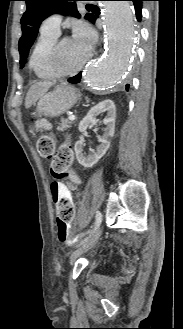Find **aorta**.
<instances>
[{"mask_svg": "<svg viewBox=\"0 0 183 329\" xmlns=\"http://www.w3.org/2000/svg\"><path fill=\"white\" fill-rule=\"evenodd\" d=\"M107 49L101 60L87 68L85 81L93 89L114 88L126 72L134 42V14L128 1L103 3Z\"/></svg>", "mask_w": 183, "mask_h": 329, "instance_id": "aorta-1", "label": "aorta"}]
</instances>
